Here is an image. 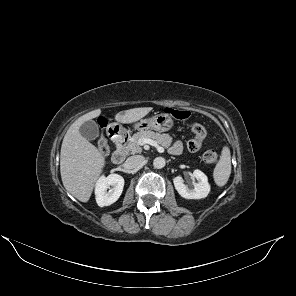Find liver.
I'll return each instance as SVG.
<instances>
[{
	"label": "liver",
	"instance_id": "obj_1",
	"mask_svg": "<svg viewBox=\"0 0 296 296\" xmlns=\"http://www.w3.org/2000/svg\"><path fill=\"white\" fill-rule=\"evenodd\" d=\"M153 108L142 107L125 110L115 115L123 124L136 122ZM101 114L100 109L90 111L78 118L64 136L60 152V173L65 189L81 202H87L95 183L103 172L106 160L104 154L84 138L79 128L90 119Z\"/></svg>",
	"mask_w": 296,
	"mask_h": 296
}]
</instances>
